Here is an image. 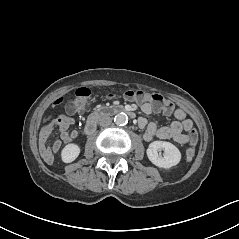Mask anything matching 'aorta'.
Listing matches in <instances>:
<instances>
[{"instance_id": "762f6f07", "label": "aorta", "mask_w": 239, "mask_h": 239, "mask_svg": "<svg viewBox=\"0 0 239 239\" xmlns=\"http://www.w3.org/2000/svg\"><path fill=\"white\" fill-rule=\"evenodd\" d=\"M114 122L117 126H125L128 123V116L125 113H118L114 117Z\"/></svg>"}]
</instances>
